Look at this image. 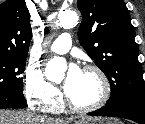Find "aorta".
<instances>
[{
	"instance_id": "obj_1",
	"label": "aorta",
	"mask_w": 145,
	"mask_h": 124,
	"mask_svg": "<svg viewBox=\"0 0 145 124\" xmlns=\"http://www.w3.org/2000/svg\"><path fill=\"white\" fill-rule=\"evenodd\" d=\"M78 21V16L74 12H64L58 15L56 24L65 27H71ZM67 69V64L64 58L55 57L48 61L45 68V76L49 81L59 82L62 79L63 73Z\"/></svg>"
}]
</instances>
